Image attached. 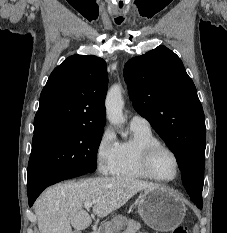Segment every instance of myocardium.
<instances>
[{"mask_svg":"<svg viewBox=\"0 0 227 233\" xmlns=\"http://www.w3.org/2000/svg\"><path fill=\"white\" fill-rule=\"evenodd\" d=\"M159 151H167L168 153L171 154V156L173 157L175 161V175L170 179L160 178L159 176L155 174L153 170V167H152L153 158L155 154L158 153ZM140 165H141L143 172L148 176V178L158 181V182H162V183L173 182L174 180L178 178L180 174V160H179L178 155L172 148L160 142L147 145L141 150Z\"/></svg>","mask_w":227,"mask_h":233,"instance_id":"obj_1","label":"myocardium"}]
</instances>
